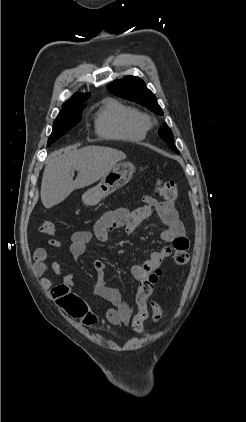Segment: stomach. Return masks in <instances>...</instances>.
Wrapping results in <instances>:
<instances>
[{
	"label": "stomach",
	"instance_id": "stomach-1",
	"mask_svg": "<svg viewBox=\"0 0 246 422\" xmlns=\"http://www.w3.org/2000/svg\"><path fill=\"white\" fill-rule=\"evenodd\" d=\"M135 167L131 163L116 164L95 187L86 191L82 200L85 205L93 206L102 199L125 186L132 178Z\"/></svg>",
	"mask_w": 246,
	"mask_h": 422
}]
</instances>
